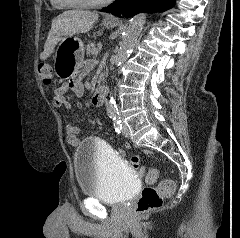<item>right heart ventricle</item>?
<instances>
[{
  "instance_id": "e07e8e85",
  "label": "right heart ventricle",
  "mask_w": 240,
  "mask_h": 238,
  "mask_svg": "<svg viewBox=\"0 0 240 238\" xmlns=\"http://www.w3.org/2000/svg\"><path fill=\"white\" fill-rule=\"evenodd\" d=\"M51 3L55 6H61V7H70L65 4V0H50Z\"/></svg>"
}]
</instances>
